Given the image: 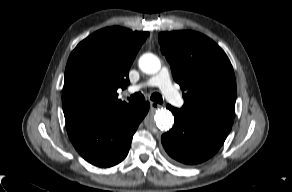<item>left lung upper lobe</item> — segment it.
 I'll list each match as a JSON object with an SVG mask.
<instances>
[{"mask_svg": "<svg viewBox=\"0 0 292 192\" xmlns=\"http://www.w3.org/2000/svg\"><path fill=\"white\" fill-rule=\"evenodd\" d=\"M158 39L175 81L188 90L179 113L187 119L232 126L236 81L225 52L210 38L193 31L162 32Z\"/></svg>", "mask_w": 292, "mask_h": 192, "instance_id": "1", "label": "left lung upper lobe"}]
</instances>
